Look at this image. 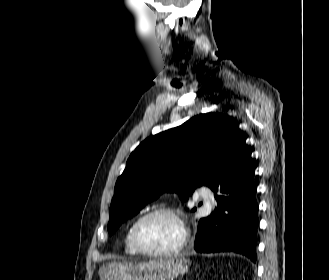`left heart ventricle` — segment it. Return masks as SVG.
Masks as SVG:
<instances>
[{"label":"left heart ventricle","instance_id":"b2bd125f","mask_svg":"<svg viewBox=\"0 0 329 280\" xmlns=\"http://www.w3.org/2000/svg\"><path fill=\"white\" fill-rule=\"evenodd\" d=\"M140 244L151 250L162 251L173 248L181 238L177 222L169 215L158 214L146 219L138 229Z\"/></svg>","mask_w":329,"mask_h":280}]
</instances>
